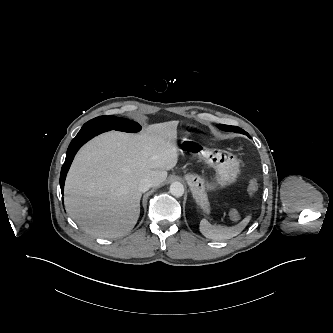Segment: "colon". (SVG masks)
Listing matches in <instances>:
<instances>
[{"label": "colon", "instance_id": "obj_1", "mask_svg": "<svg viewBox=\"0 0 333 333\" xmlns=\"http://www.w3.org/2000/svg\"><path fill=\"white\" fill-rule=\"evenodd\" d=\"M258 182L255 179H252L251 181H249L248 185H247V192L250 195H253L257 192L258 190ZM229 217L232 221H238L240 219V213L238 210L236 209H232L229 212Z\"/></svg>", "mask_w": 333, "mask_h": 333}]
</instances>
